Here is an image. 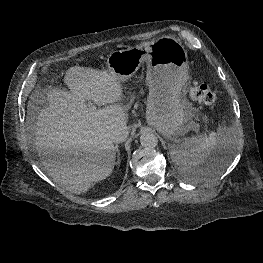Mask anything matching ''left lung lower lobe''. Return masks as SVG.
<instances>
[{"instance_id":"left-lung-lower-lobe-1","label":"left lung lower lobe","mask_w":263,"mask_h":263,"mask_svg":"<svg viewBox=\"0 0 263 263\" xmlns=\"http://www.w3.org/2000/svg\"><path fill=\"white\" fill-rule=\"evenodd\" d=\"M218 165H219V162L216 159H212L205 166H203L200 170L195 171V172L201 176H209L218 170Z\"/></svg>"}]
</instances>
